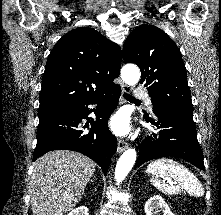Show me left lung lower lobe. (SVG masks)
Here are the masks:
<instances>
[{
  "label": "left lung lower lobe",
  "instance_id": "obj_1",
  "mask_svg": "<svg viewBox=\"0 0 221 215\" xmlns=\"http://www.w3.org/2000/svg\"><path fill=\"white\" fill-rule=\"evenodd\" d=\"M153 112L157 117L155 125L161 130L159 136L153 134L142 142L135 167L153 159L171 156L205 170L193 113L168 109H155Z\"/></svg>",
  "mask_w": 221,
  "mask_h": 215
}]
</instances>
